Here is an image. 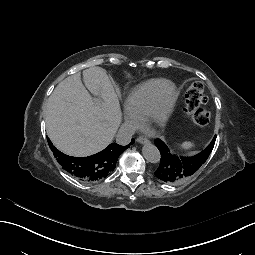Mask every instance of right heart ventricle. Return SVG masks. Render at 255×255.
<instances>
[{"label": "right heart ventricle", "instance_id": "1", "mask_svg": "<svg viewBox=\"0 0 255 255\" xmlns=\"http://www.w3.org/2000/svg\"><path fill=\"white\" fill-rule=\"evenodd\" d=\"M165 81L151 79L130 89L124 97V107L133 119L142 118L152 107L160 88Z\"/></svg>", "mask_w": 255, "mask_h": 255}]
</instances>
